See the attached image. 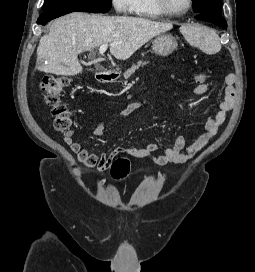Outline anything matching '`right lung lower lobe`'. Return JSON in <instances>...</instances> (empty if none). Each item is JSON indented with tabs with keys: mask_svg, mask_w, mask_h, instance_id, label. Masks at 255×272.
I'll return each instance as SVG.
<instances>
[{
	"mask_svg": "<svg viewBox=\"0 0 255 272\" xmlns=\"http://www.w3.org/2000/svg\"><path fill=\"white\" fill-rule=\"evenodd\" d=\"M68 13H71V12H43L39 16L37 23L41 25H45L50 20L60 17L62 15L68 14Z\"/></svg>",
	"mask_w": 255,
	"mask_h": 272,
	"instance_id": "right-lung-lower-lobe-1",
	"label": "right lung lower lobe"
}]
</instances>
